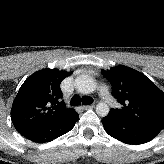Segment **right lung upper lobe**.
Instances as JSON below:
<instances>
[{
    "instance_id": "cb5924a9",
    "label": "right lung upper lobe",
    "mask_w": 164,
    "mask_h": 164,
    "mask_svg": "<svg viewBox=\"0 0 164 164\" xmlns=\"http://www.w3.org/2000/svg\"><path fill=\"white\" fill-rule=\"evenodd\" d=\"M70 74L58 69H43L26 79L11 110L13 125L19 133L26 134L75 112L66 108L61 99L60 84Z\"/></svg>"
}]
</instances>
